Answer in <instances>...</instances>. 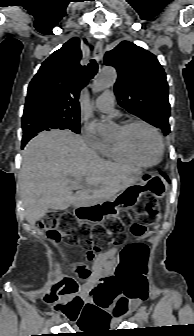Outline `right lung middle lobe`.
Instances as JSON below:
<instances>
[{
    "label": "right lung middle lobe",
    "instance_id": "dd1d6c3e",
    "mask_svg": "<svg viewBox=\"0 0 194 336\" xmlns=\"http://www.w3.org/2000/svg\"><path fill=\"white\" fill-rule=\"evenodd\" d=\"M51 129H69L75 133H79L80 120L54 116L39 117L28 122L26 125L23 124V137L33 132L39 133L42 131H49Z\"/></svg>",
    "mask_w": 194,
    "mask_h": 336
}]
</instances>
